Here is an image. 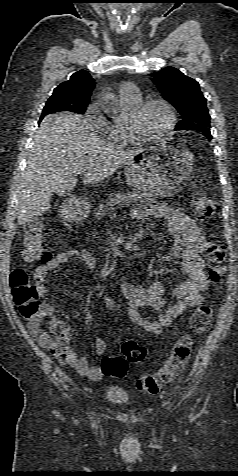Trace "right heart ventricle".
Instances as JSON below:
<instances>
[{"mask_svg":"<svg viewBox=\"0 0 238 476\" xmlns=\"http://www.w3.org/2000/svg\"><path fill=\"white\" fill-rule=\"evenodd\" d=\"M120 100L126 110H131L142 99H141V96L129 97V96L120 94ZM108 128H109V138L116 145H122L134 139L128 130L127 117L124 114L114 118L113 121L108 125Z\"/></svg>","mask_w":238,"mask_h":476,"instance_id":"e07e8e85","label":"right heart ventricle"}]
</instances>
